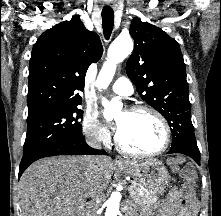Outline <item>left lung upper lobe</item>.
Here are the masks:
<instances>
[{
	"mask_svg": "<svg viewBox=\"0 0 221 216\" xmlns=\"http://www.w3.org/2000/svg\"><path fill=\"white\" fill-rule=\"evenodd\" d=\"M135 48L126 72L137 92L168 121L171 149L200 153L191 121L186 68L179 44L162 29L133 18Z\"/></svg>",
	"mask_w": 221,
	"mask_h": 216,
	"instance_id": "1",
	"label": "left lung upper lobe"
}]
</instances>
